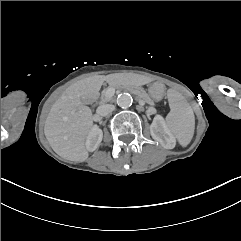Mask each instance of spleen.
<instances>
[{
  "mask_svg": "<svg viewBox=\"0 0 241 241\" xmlns=\"http://www.w3.org/2000/svg\"><path fill=\"white\" fill-rule=\"evenodd\" d=\"M167 93L170 99V112L165 118V124L178 144L184 148L189 145L194 135V112L179 92L169 88Z\"/></svg>",
  "mask_w": 241,
  "mask_h": 241,
  "instance_id": "obj_1",
  "label": "spleen"
}]
</instances>
